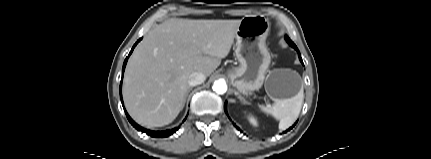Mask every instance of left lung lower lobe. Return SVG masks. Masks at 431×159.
<instances>
[{"label":"left lung lower lobe","instance_id":"left-lung-lower-lobe-1","mask_svg":"<svg viewBox=\"0 0 431 159\" xmlns=\"http://www.w3.org/2000/svg\"><path fill=\"white\" fill-rule=\"evenodd\" d=\"M285 39H286V41L293 47V48H295L297 51H298V54H299V59H300V61L303 63V61H302V58H301V55H300V53H299V50H298V48L296 47V45L290 40V38L289 37H285ZM224 108H225V112H226V103L224 104ZM227 113V112H226ZM235 125V124H234ZM295 125V124H294ZM293 125V126H294ZM292 126V127H293ZM292 127H290L288 130H290V129H292ZM237 129L238 130H240L238 127H237ZM286 132V131H285Z\"/></svg>","mask_w":431,"mask_h":159}]
</instances>
